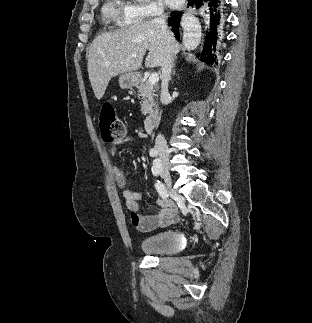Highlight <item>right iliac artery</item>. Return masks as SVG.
<instances>
[{"instance_id":"right-iliac-artery-1","label":"right iliac artery","mask_w":312,"mask_h":323,"mask_svg":"<svg viewBox=\"0 0 312 323\" xmlns=\"http://www.w3.org/2000/svg\"><path fill=\"white\" fill-rule=\"evenodd\" d=\"M153 165H155V167L158 170H160L161 161L159 159H155L154 162H153ZM155 187H156L157 192L159 193V195L163 199H166L168 197V193H167V190H166L165 186L159 180H157V182L155 183Z\"/></svg>"}]
</instances>
